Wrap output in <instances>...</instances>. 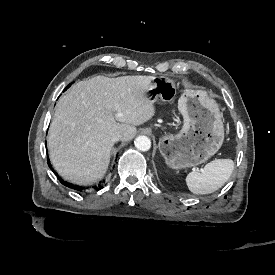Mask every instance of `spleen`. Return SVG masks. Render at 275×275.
Wrapping results in <instances>:
<instances>
[{"mask_svg": "<svg viewBox=\"0 0 275 275\" xmlns=\"http://www.w3.org/2000/svg\"><path fill=\"white\" fill-rule=\"evenodd\" d=\"M234 163L231 159H216L207 163L201 172H191L185 182L193 194H210L219 189L231 176Z\"/></svg>", "mask_w": 275, "mask_h": 275, "instance_id": "spleen-1", "label": "spleen"}]
</instances>
